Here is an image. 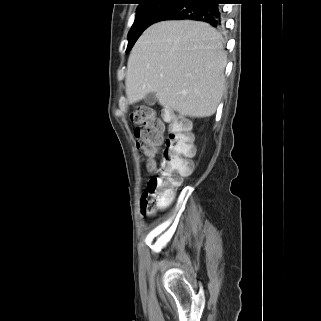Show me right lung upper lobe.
<instances>
[{"mask_svg": "<svg viewBox=\"0 0 321 321\" xmlns=\"http://www.w3.org/2000/svg\"><path fill=\"white\" fill-rule=\"evenodd\" d=\"M139 1H140V5H142V4L146 3V2L153 1V0H139ZM175 1L182 2L184 0H175Z\"/></svg>", "mask_w": 321, "mask_h": 321, "instance_id": "right-lung-upper-lobe-1", "label": "right lung upper lobe"}]
</instances>
